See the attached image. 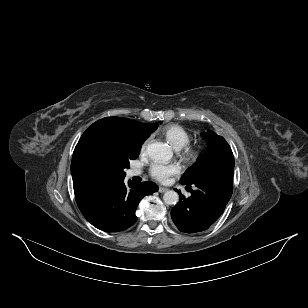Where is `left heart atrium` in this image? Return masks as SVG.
Here are the masks:
<instances>
[{
    "label": "left heart atrium",
    "mask_w": 308,
    "mask_h": 308,
    "mask_svg": "<svg viewBox=\"0 0 308 308\" xmlns=\"http://www.w3.org/2000/svg\"><path fill=\"white\" fill-rule=\"evenodd\" d=\"M180 171L181 167L177 163H155L150 167V175L161 183L168 182L171 176L178 174Z\"/></svg>",
    "instance_id": "1"
}]
</instances>
